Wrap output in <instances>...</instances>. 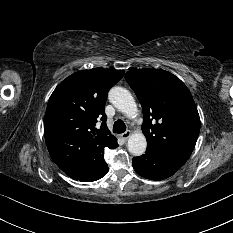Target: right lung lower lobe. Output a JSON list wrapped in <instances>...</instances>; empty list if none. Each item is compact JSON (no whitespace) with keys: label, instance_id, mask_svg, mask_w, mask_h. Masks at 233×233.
I'll return each instance as SVG.
<instances>
[{"label":"right lung lower lobe","instance_id":"98d812e1","mask_svg":"<svg viewBox=\"0 0 233 233\" xmlns=\"http://www.w3.org/2000/svg\"><path fill=\"white\" fill-rule=\"evenodd\" d=\"M64 172L74 180H80L83 182H92L102 178L107 174L108 165L104 163V165L97 171L74 170V171H64Z\"/></svg>","mask_w":233,"mask_h":233}]
</instances>
